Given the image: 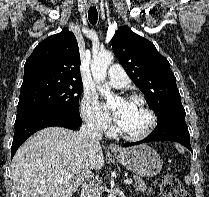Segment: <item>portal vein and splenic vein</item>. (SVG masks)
<instances>
[{
	"label": "portal vein and splenic vein",
	"instance_id": "portal-vein-and-splenic-vein-1",
	"mask_svg": "<svg viewBox=\"0 0 209 197\" xmlns=\"http://www.w3.org/2000/svg\"><path fill=\"white\" fill-rule=\"evenodd\" d=\"M68 177H71V175H68ZM125 184H131L132 183V179H127L124 181Z\"/></svg>",
	"mask_w": 209,
	"mask_h": 197
}]
</instances>
